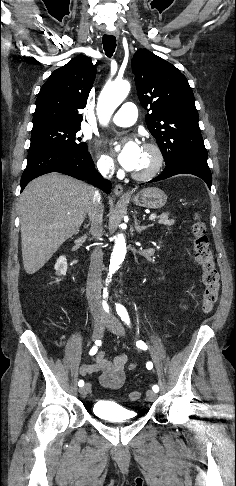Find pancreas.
Wrapping results in <instances>:
<instances>
[{
	"label": "pancreas",
	"mask_w": 236,
	"mask_h": 486,
	"mask_svg": "<svg viewBox=\"0 0 236 486\" xmlns=\"http://www.w3.org/2000/svg\"><path fill=\"white\" fill-rule=\"evenodd\" d=\"M158 219H159L158 220L159 224H163V225H166V226H172L175 222L174 220L169 219V214H167V213H164V214L158 216Z\"/></svg>",
	"instance_id": "obj_1"
}]
</instances>
